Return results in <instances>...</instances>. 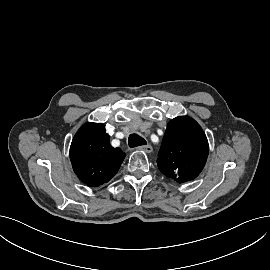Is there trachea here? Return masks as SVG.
<instances>
[{"label":"trachea","mask_w":270,"mask_h":270,"mask_svg":"<svg viewBox=\"0 0 270 270\" xmlns=\"http://www.w3.org/2000/svg\"><path fill=\"white\" fill-rule=\"evenodd\" d=\"M128 144H129V147L134 148V147H137V146L146 145L147 142L141 136H139L137 134H131L129 136V139H128Z\"/></svg>","instance_id":"1"}]
</instances>
